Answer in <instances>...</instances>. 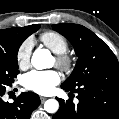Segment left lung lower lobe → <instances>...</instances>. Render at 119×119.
Wrapping results in <instances>:
<instances>
[{
	"label": "left lung lower lobe",
	"instance_id": "obj_1",
	"mask_svg": "<svg viewBox=\"0 0 119 119\" xmlns=\"http://www.w3.org/2000/svg\"><path fill=\"white\" fill-rule=\"evenodd\" d=\"M61 88L77 92L79 103L75 105L73 99L64 101L57 98L60 108L53 119H119L118 82L88 84L75 89Z\"/></svg>",
	"mask_w": 119,
	"mask_h": 119
}]
</instances>
